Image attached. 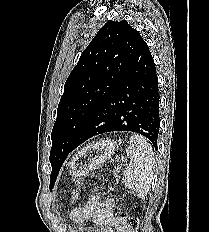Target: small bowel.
I'll return each mask as SVG.
<instances>
[{"mask_svg":"<svg viewBox=\"0 0 209 232\" xmlns=\"http://www.w3.org/2000/svg\"><path fill=\"white\" fill-rule=\"evenodd\" d=\"M70 218L80 227L85 221L94 222L97 227L88 232H129L120 219L113 217L112 202L102 200L99 195L92 196L83 207L73 210Z\"/></svg>","mask_w":209,"mask_h":232,"instance_id":"1","label":"small bowel"}]
</instances>
